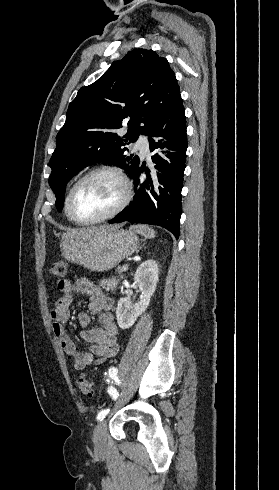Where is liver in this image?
<instances>
[{"mask_svg": "<svg viewBox=\"0 0 279 490\" xmlns=\"http://www.w3.org/2000/svg\"><path fill=\"white\" fill-rule=\"evenodd\" d=\"M119 226H99V228H79V230H71L63 236H72V238H84V236H93V234H106V232H111V230H117Z\"/></svg>", "mask_w": 279, "mask_h": 490, "instance_id": "liver-1", "label": "liver"}]
</instances>
